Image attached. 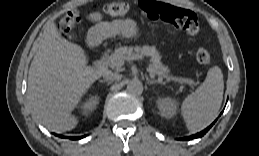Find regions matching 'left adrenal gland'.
<instances>
[{"label":"left adrenal gland","instance_id":"a2214340","mask_svg":"<svg viewBox=\"0 0 259 156\" xmlns=\"http://www.w3.org/2000/svg\"><path fill=\"white\" fill-rule=\"evenodd\" d=\"M146 80H147V83L149 85H153V84H156V83H158V84H165V82H163L161 78H159L158 80H155L154 78L147 77Z\"/></svg>","mask_w":259,"mask_h":156}]
</instances>
